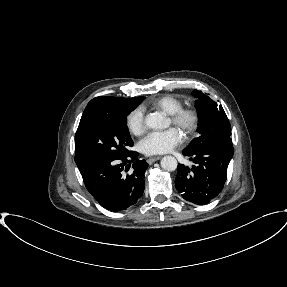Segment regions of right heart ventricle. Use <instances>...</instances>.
<instances>
[{"mask_svg":"<svg viewBox=\"0 0 287 287\" xmlns=\"http://www.w3.org/2000/svg\"><path fill=\"white\" fill-rule=\"evenodd\" d=\"M145 107L161 110L164 113L170 115L183 107V101L173 95H163L153 98L143 105V108Z\"/></svg>","mask_w":287,"mask_h":287,"instance_id":"1","label":"right heart ventricle"}]
</instances>
